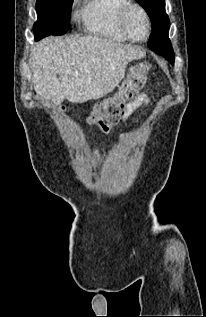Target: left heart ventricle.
Wrapping results in <instances>:
<instances>
[{"instance_id": "1", "label": "left heart ventricle", "mask_w": 206, "mask_h": 317, "mask_svg": "<svg viewBox=\"0 0 206 317\" xmlns=\"http://www.w3.org/2000/svg\"><path fill=\"white\" fill-rule=\"evenodd\" d=\"M126 26L130 34L136 39H142L147 34L146 20L138 9H133L130 12Z\"/></svg>"}]
</instances>
